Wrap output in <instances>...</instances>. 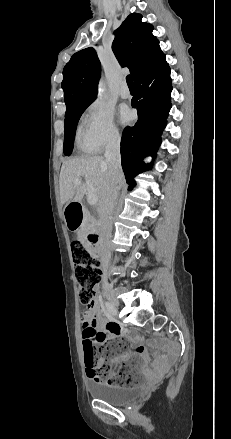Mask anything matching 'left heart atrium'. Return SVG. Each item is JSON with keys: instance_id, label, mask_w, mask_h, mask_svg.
Instances as JSON below:
<instances>
[{"instance_id": "39dd6f15", "label": "left heart atrium", "mask_w": 231, "mask_h": 439, "mask_svg": "<svg viewBox=\"0 0 231 439\" xmlns=\"http://www.w3.org/2000/svg\"><path fill=\"white\" fill-rule=\"evenodd\" d=\"M132 119V113L126 109V108H122L120 110V120L122 123H127Z\"/></svg>"}]
</instances>
